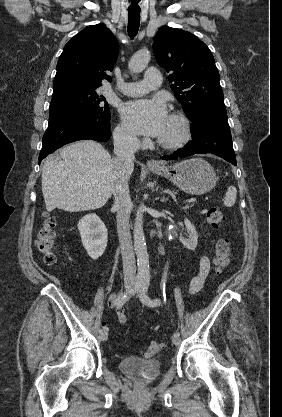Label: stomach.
Masks as SVG:
<instances>
[{"label":"stomach","instance_id":"1","mask_svg":"<svg viewBox=\"0 0 282 417\" xmlns=\"http://www.w3.org/2000/svg\"><path fill=\"white\" fill-rule=\"evenodd\" d=\"M156 174H161L165 178L172 180L173 184L179 186L188 194H205L216 186V172L210 162L203 158H188L175 162L170 166H158L151 168Z\"/></svg>","mask_w":282,"mask_h":417}]
</instances>
